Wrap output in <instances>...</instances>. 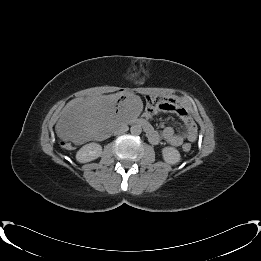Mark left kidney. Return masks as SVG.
I'll use <instances>...</instances> for the list:
<instances>
[{"instance_id":"left-kidney-1","label":"left kidney","mask_w":261,"mask_h":261,"mask_svg":"<svg viewBox=\"0 0 261 261\" xmlns=\"http://www.w3.org/2000/svg\"><path fill=\"white\" fill-rule=\"evenodd\" d=\"M162 156L164 161L171 165L178 164L181 160L179 151L174 147H164L162 149Z\"/></svg>"}]
</instances>
